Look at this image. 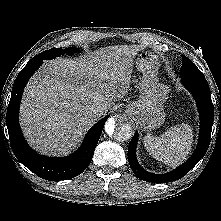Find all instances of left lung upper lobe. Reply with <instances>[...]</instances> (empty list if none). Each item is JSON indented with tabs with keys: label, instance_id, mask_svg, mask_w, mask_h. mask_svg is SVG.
Masks as SVG:
<instances>
[{
	"label": "left lung upper lobe",
	"instance_id": "1",
	"mask_svg": "<svg viewBox=\"0 0 221 221\" xmlns=\"http://www.w3.org/2000/svg\"><path fill=\"white\" fill-rule=\"evenodd\" d=\"M181 78H201L205 77L197 66L186 56H182Z\"/></svg>",
	"mask_w": 221,
	"mask_h": 221
}]
</instances>
